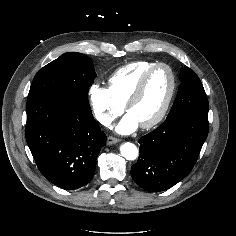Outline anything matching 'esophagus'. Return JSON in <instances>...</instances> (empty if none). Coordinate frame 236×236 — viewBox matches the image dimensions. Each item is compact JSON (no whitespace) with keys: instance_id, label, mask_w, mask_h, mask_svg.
Instances as JSON below:
<instances>
[{"instance_id":"esophagus-1","label":"esophagus","mask_w":236,"mask_h":236,"mask_svg":"<svg viewBox=\"0 0 236 236\" xmlns=\"http://www.w3.org/2000/svg\"><path fill=\"white\" fill-rule=\"evenodd\" d=\"M119 142L118 138H115L113 136H108L107 137V145H112V144H116Z\"/></svg>"}]
</instances>
